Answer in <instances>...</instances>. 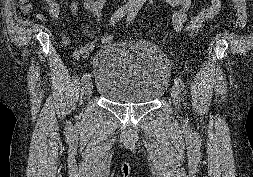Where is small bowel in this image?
<instances>
[{"label": "small bowel", "mask_w": 253, "mask_h": 177, "mask_svg": "<svg viewBox=\"0 0 253 177\" xmlns=\"http://www.w3.org/2000/svg\"><path fill=\"white\" fill-rule=\"evenodd\" d=\"M48 8L49 16L59 21L61 19L60 5L56 0H43ZM170 6L176 8L172 14V25L176 32L187 33L190 36H195L200 33L204 24L212 20L222 7V0H209V4L201 9L196 15L188 20V13L192 6L193 0H165ZM107 0H71L70 10L75 17L79 16V7L82 6L91 15L94 28L85 27V34L93 41L82 46L76 53V56H82L89 53L94 47V41L97 40L100 26L103 22L102 10ZM21 11L28 14L32 11L33 4L31 0H19ZM40 20H46L45 14L38 15ZM68 41V39H66Z\"/></svg>", "instance_id": "obj_1"}]
</instances>
